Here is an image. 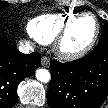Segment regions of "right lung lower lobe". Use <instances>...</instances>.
Here are the masks:
<instances>
[{
	"label": "right lung lower lobe",
	"instance_id": "98d812e1",
	"mask_svg": "<svg viewBox=\"0 0 108 108\" xmlns=\"http://www.w3.org/2000/svg\"><path fill=\"white\" fill-rule=\"evenodd\" d=\"M41 65L39 53L22 54L0 37V108L17 102V85Z\"/></svg>",
	"mask_w": 108,
	"mask_h": 108
}]
</instances>
